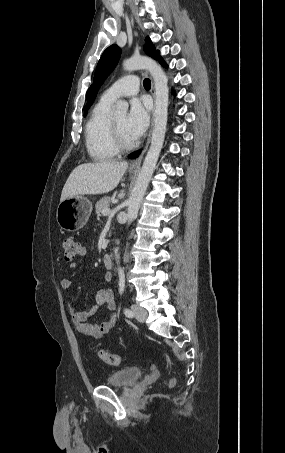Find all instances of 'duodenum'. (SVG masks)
<instances>
[{"label": "duodenum", "instance_id": "duodenum-1", "mask_svg": "<svg viewBox=\"0 0 285 453\" xmlns=\"http://www.w3.org/2000/svg\"><path fill=\"white\" fill-rule=\"evenodd\" d=\"M103 263L105 265L106 268H111L112 265H113V259H112V256L110 254H105L103 256Z\"/></svg>", "mask_w": 285, "mask_h": 453}]
</instances>
